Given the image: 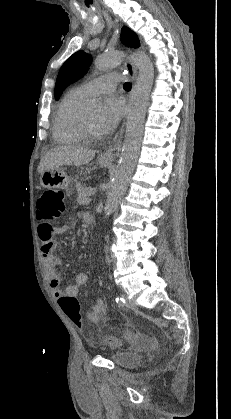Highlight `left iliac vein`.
Returning a JSON list of instances; mask_svg holds the SVG:
<instances>
[{
  "label": "left iliac vein",
  "mask_w": 231,
  "mask_h": 419,
  "mask_svg": "<svg viewBox=\"0 0 231 419\" xmlns=\"http://www.w3.org/2000/svg\"><path fill=\"white\" fill-rule=\"evenodd\" d=\"M124 298L126 299V304L125 305L128 309H132V310L136 309V305L133 301L129 300L126 295H124Z\"/></svg>",
  "instance_id": "obj_1"
}]
</instances>
